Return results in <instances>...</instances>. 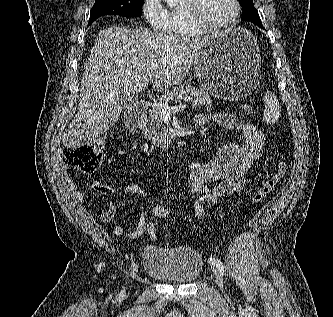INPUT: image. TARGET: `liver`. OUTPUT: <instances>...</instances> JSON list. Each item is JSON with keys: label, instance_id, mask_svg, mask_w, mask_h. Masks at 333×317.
Masks as SVG:
<instances>
[{"label": "liver", "instance_id": "6515ba94", "mask_svg": "<svg viewBox=\"0 0 333 317\" xmlns=\"http://www.w3.org/2000/svg\"><path fill=\"white\" fill-rule=\"evenodd\" d=\"M211 36L123 26L103 29L85 65L78 110L62 136L63 145L78 148L106 132L123 111L119 99L141 92L149 81L157 90L180 83Z\"/></svg>", "mask_w": 333, "mask_h": 317}]
</instances>
